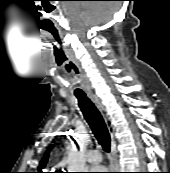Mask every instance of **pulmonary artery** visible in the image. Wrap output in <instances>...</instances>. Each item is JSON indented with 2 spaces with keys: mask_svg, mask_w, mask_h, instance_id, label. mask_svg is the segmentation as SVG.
I'll list each match as a JSON object with an SVG mask.
<instances>
[{
  "mask_svg": "<svg viewBox=\"0 0 170 173\" xmlns=\"http://www.w3.org/2000/svg\"><path fill=\"white\" fill-rule=\"evenodd\" d=\"M86 160L91 164H98L102 160V156L99 150L91 149L88 150L85 154Z\"/></svg>",
  "mask_w": 170,
  "mask_h": 173,
  "instance_id": "pulmonary-artery-1",
  "label": "pulmonary artery"
}]
</instances>
